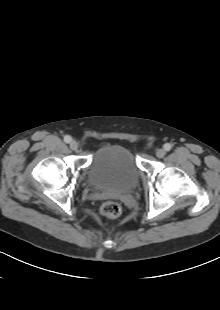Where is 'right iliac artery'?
<instances>
[{
  "label": "right iliac artery",
  "instance_id": "1",
  "mask_svg": "<svg viewBox=\"0 0 220 310\" xmlns=\"http://www.w3.org/2000/svg\"><path fill=\"white\" fill-rule=\"evenodd\" d=\"M71 140H72V138H71L69 135H66V136L64 137V141H65L66 143H70Z\"/></svg>",
  "mask_w": 220,
  "mask_h": 310
}]
</instances>
